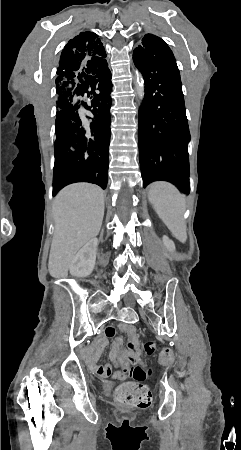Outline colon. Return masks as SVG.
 <instances>
[{
    "label": "colon",
    "mask_w": 241,
    "mask_h": 450,
    "mask_svg": "<svg viewBox=\"0 0 241 450\" xmlns=\"http://www.w3.org/2000/svg\"><path fill=\"white\" fill-rule=\"evenodd\" d=\"M155 347L153 341H146L143 345V353L147 356H151L155 352ZM171 353L172 348L170 346H165L160 353V361L162 363H167ZM124 372L137 382L148 379L151 375V369L141 365L125 367ZM111 398L116 404L123 405L129 409L145 410L148 409L152 403V393L150 389L144 385L135 383L115 386L111 393Z\"/></svg>",
    "instance_id": "colon-1"
}]
</instances>
